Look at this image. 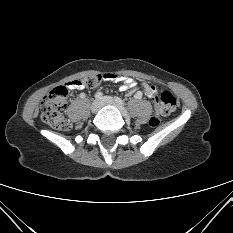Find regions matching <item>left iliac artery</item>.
Here are the masks:
<instances>
[{
  "label": "left iliac artery",
  "mask_w": 233,
  "mask_h": 233,
  "mask_svg": "<svg viewBox=\"0 0 233 233\" xmlns=\"http://www.w3.org/2000/svg\"><path fill=\"white\" fill-rule=\"evenodd\" d=\"M114 99H115V101H116L118 104H120V105H122V106H125V105H126L125 102H124L121 98H119V97H114Z\"/></svg>",
  "instance_id": "obj_1"
}]
</instances>
